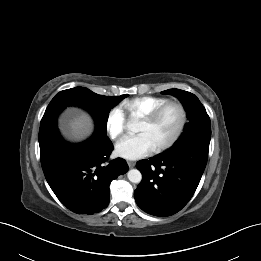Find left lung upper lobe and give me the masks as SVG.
<instances>
[{
    "mask_svg": "<svg viewBox=\"0 0 261 261\" xmlns=\"http://www.w3.org/2000/svg\"><path fill=\"white\" fill-rule=\"evenodd\" d=\"M162 94L177 97L183 104L189 119V122L185 124L183 133L173 146L194 140L210 142V118L199 99L194 94L180 89H168L163 91Z\"/></svg>",
    "mask_w": 261,
    "mask_h": 261,
    "instance_id": "left-lung-upper-lobe-1",
    "label": "left lung upper lobe"
}]
</instances>
